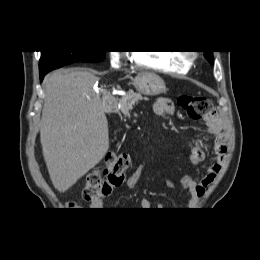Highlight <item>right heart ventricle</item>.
Returning <instances> with one entry per match:
<instances>
[{"label":"right heart ventricle","instance_id":"right-heart-ventricle-1","mask_svg":"<svg viewBox=\"0 0 260 260\" xmlns=\"http://www.w3.org/2000/svg\"><path fill=\"white\" fill-rule=\"evenodd\" d=\"M132 58L139 66L167 73H186L190 67V63L185 57L168 51H135Z\"/></svg>","mask_w":260,"mask_h":260}]
</instances>
